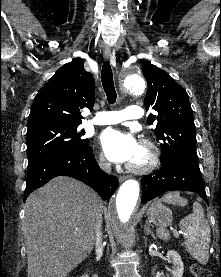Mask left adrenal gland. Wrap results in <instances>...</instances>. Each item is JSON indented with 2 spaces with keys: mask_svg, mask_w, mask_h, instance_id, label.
I'll use <instances>...</instances> for the list:
<instances>
[{
  "mask_svg": "<svg viewBox=\"0 0 221 277\" xmlns=\"http://www.w3.org/2000/svg\"><path fill=\"white\" fill-rule=\"evenodd\" d=\"M144 232H145V234H147V235H148V234H151V236H152L153 238H155V237H154V234L151 232L150 225H149L148 221L145 222Z\"/></svg>",
  "mask_w": 221,
  "mask_h": 277,
  "instance_id": "obj_1",
  "label": "left adrenal gland"
}]
</instances>
